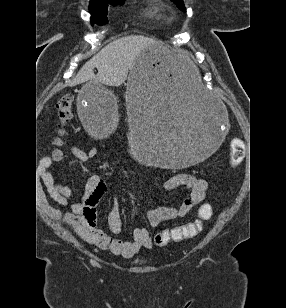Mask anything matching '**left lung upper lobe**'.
Masks as SVG:
<instances>
[{
  "label": "left lung upper lobe",
  "mask_w": 286,
  "mask_h": 308,
  "mask_svg": "<svg viewBox=\"0 0 286 308\" xmlns=\"http://www.w3.org/2000/svg\"><path fill=\"white\" fill-rule=\"evenodd\" d=\"M173 1L182 11H186L183 0H171Z\"/></svg>",
  "instance_id": "5c2ea615"
}]
</instances>
